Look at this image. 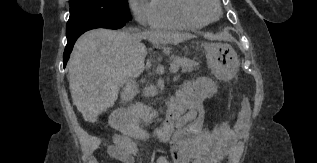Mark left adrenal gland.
Segmentation results:
<instances>
[{
    "label": "left adrenal gland",
    "instance_id": "1",
    "mask_svg": "<svg viewBox=\"0 0 317 163\" xmlns=\"http://www.w3.org/2000/svg\"><path fill=\"white\" fill-rule=\"evenodd\" d=\"M178 77H175L174 80H177Z\"/></svg>",
    "mask_w": 317,
    "mask_h": 163
}]
</instances>
